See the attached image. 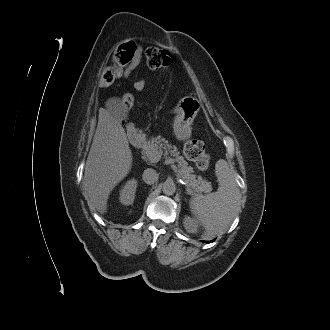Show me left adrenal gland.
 <instances>
[{
	"mask_svg": "<svg viewBox=\"0 0 330 330\" xmlns=\"http://www.w3.org/2000/svg\"><path fill=\"white\" fill-rule=\"evenodd\" d=\"M187 194H191V192L187 190Z\"/></svg>",
	"mask_w": 330,
	"mask_h": 330,
	"instance_id": "obj_1",
	"label": "left adrenal gland"
}]
</instances>
